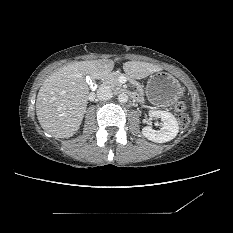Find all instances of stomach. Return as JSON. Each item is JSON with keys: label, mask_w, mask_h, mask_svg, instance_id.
I'll return each mask as SVG.
<instances>
[{"label": "stomach", "mask_w": 233, "mask_h": 233, "mask_svg": "<svg viewBox=\"0 0 233 233\" xmlns=\"http://www.w3.org/2000/svg\"><path fill=\"white\" fill-rule=\"evenodd\" d=\"M147 97L155 104L168 106L182 95V88L176 78L167 72L152 75L146 88Z\"/></svg>", "instance_id": "stomach-1"}]
</instances>
